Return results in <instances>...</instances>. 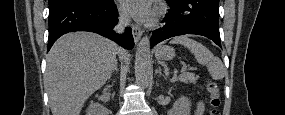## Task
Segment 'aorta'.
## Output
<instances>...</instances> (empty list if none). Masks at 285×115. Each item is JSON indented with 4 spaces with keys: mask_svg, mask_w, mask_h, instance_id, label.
Masks as SVG:
<instances>
[{
    "mask_svg": "<svg viewBox=\"0 0 285 115\" xmlns=\"http://www.w3.org/2000/svg\"><path fill=\"white\" fill-rule=\"evenodd\" d=\"M135 78L138 85L147 87L151 80L150 39L144 36L137 46Z\"/></svg>",
    "mask_w": 285,
    "mask_h": 115,
    "instance_id": "aorta-1",
    "label": "aorta"
}]
</instances>
